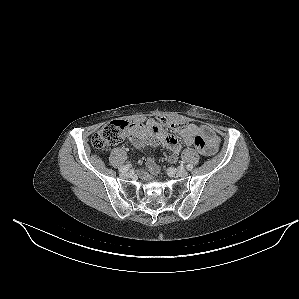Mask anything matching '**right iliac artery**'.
<instances>
[{"label":"right iliac artery","instance_id":"1","mask_svg":"<svg viewBox=\"0 0 299 299\" xmlns=\"http://www.w3.org/2000/svg\"><path fill=\"white\" fill-rule=\"evenodd\" d=\"M130 164L128 165H125V166H122V167H119V172H126L129 168H130Z\"/></svg>","mask_w":299,"mask_h":299}]
</instances>
